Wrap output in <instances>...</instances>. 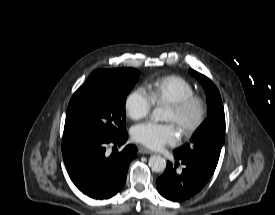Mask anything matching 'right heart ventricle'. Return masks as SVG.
<instances>
[{"label": "right heart ventricle", "mask_w": 275, "mask_h": 215, "mask_svg": "<svg viewBox=\"0 0 275 215\" xmlns=\"http://www.w3.org/2000/svg\"><path fill=\"white\" fill-rule=\"evenodd\" d=\"M147 93L153 103H172L194 94L193 86L177 75L159 77L147 84Z\"/></svg>", "instance_id": "right-heart-ventricle-1"}]
</instances>
